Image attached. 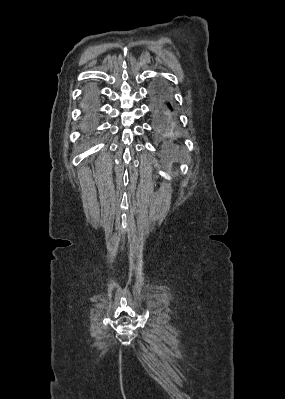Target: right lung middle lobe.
<instances>
[{"label": "right lung middle lobe", "mask_w": 285, "mask_h": 399, "mask_svg": "<svg viewBox=\"0 0 285 399\" xmlns=\"http://www.w3.org/2000/svg\"><path fill=\"white\" fill-rule=\"evenodd\" d=\"M96 104H97V100L95 98V95L93 93H89L88 99H87L88 109L90 110V109L95 108Z\"/></svg>", "instance_id": "right-lung-middle-lobe-1"}]
</instances>
